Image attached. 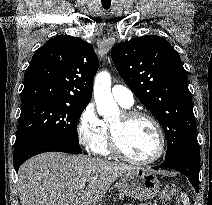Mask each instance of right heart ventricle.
<instances>
[{
	"instance_id": "right-heart-ventricle-1",
	"label": "right heart ventricle",
	"mask_w": 212,
	"mask_h": 205,
	"mask_svg": "<svg viewBox=\"0 0 212 205\" xmlns=\"http://www.w3.org/2000/svg\"><path fill=\"white\" fill-rule=\"evenodd\" d=\"M102 125H103L102 135L98 143L92 149V151L100 156H111L113 153L111 152L109 147V129H108L109 124L106 121H102Z\"/></svg>"
}]
</instances>
